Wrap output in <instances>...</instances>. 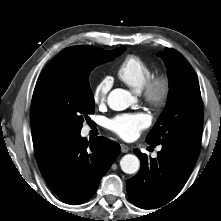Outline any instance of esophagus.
Wrapping results in <instances>:
<instances>
[{
	"label": "esophagus",
	"mask_w": 221,
	"mask_h": 221,
	"mask_svg": "<svg viewBox=\"0 0 221 221\" xmlns=\"http://www.w3.org/2000/svg\"><path fill=\"white\" fill-rule=\"evenodd\" d=\"M120 146L123 153H127L130 150V148L125 144H121Z\"/></svg>",
	"instance_id": "34e87169"
}]
</instances>
